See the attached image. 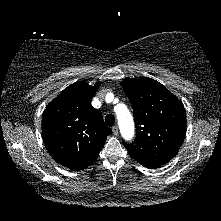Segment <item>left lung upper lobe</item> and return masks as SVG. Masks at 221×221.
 <instances>
[{
	"label": "left lung upper lobe",
	"mask_w": 221,
	"mask_h": 221,
	"mask_svg": "<svg viewBox=\"0 0 221 221\" xmlns=\"http://www.w3.org/2000/svg\"><path fill=\"white\" fill-rule=\"evenodd\" d=\"M121 85L132 103L137 129L136 139L124 146L146 167L163 165L177 154L185 137L182 102L151 78L126 79Z\"/></svg>",
	"instance_id": "left-lung-upper-lobe-1"
}]
</instances>
